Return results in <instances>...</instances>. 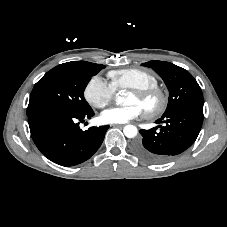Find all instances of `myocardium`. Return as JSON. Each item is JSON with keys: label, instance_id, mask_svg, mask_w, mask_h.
<instances>
[{"label": "myocardium", "instance_id": "f54148a6", "mask_svg": "<svg viewBox=\"0 0 227 227\" xmlns=\"http://www.w3.org/2000/svg\"><path fill=\"white\" fill-rule=\"evenodd\" d=\"M131 93L141 101L154 100V105L143 111L147 118L158 117L167 108L168 96L164 90L157 86L145 89H132Z\"/></svg>", "mask_w": 227, "mask_h": 227}]
</instances>
